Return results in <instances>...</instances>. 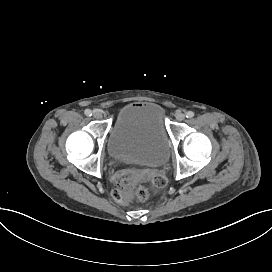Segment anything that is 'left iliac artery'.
Returning <instances> with one entry per match:
<instances>
[{
  "label": "left iliac artery",
  "mask_w": 272,
  "mask_h": 272,
  "mask_svg": "<svg viewBox=\"0 0 272 272\" xmlns=\"http://www.w3.org/2000/svg\"><path fill=\"white\" fill-rule=\"evenodd\" d=\"M194 116V112H192V111H188L187 113H186V117L187 118H192Z\"/></svg>",
  "instance_id": "44dca946"
}]
</instances>
